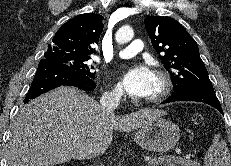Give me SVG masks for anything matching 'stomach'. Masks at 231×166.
I'll return each instance as SVG.
<instances>
[{
  "label": "stomach",
  "mask_w": 231,
  "mask_h": 166,
  "mask_svg": "<svg viewBox=\"0 0 231 166\" xmlns=\"http://www.w3.org/2000/svg\"><path fill=\"white\" fill-rule=\"evenodd\" d=\"M179 137V127L159 116L142 125L134 134L133 140L148 151L166 152L177 144Z\"/></svg>",
  "instance_id": "stomach-1"
}]
</instances>
